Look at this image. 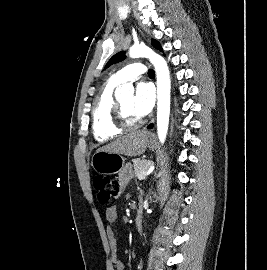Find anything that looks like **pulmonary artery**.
Wrapping results in <instances>:
<instances>
[{
	"mask_svg": "<svg viewBox=\"0 0 267 270\" xmlns=\"http://www.w3.org/2000/svg\"><path fill=\"white\" fill-rule=\"evenodd\" d=\"M146 73V67L141 63H133L117 71L112 78L117 83H125L137 80L142 74Z\"/></svg>",
	"mask_w": 267,
	"mask_h": 270,
	"instance_id": "1",
	"label": "pulmonary artery"
}]
</instances>
